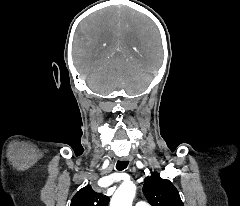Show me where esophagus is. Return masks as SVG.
Returning <instances> with one entry per match:
<instances>
[{"label": "esophagus", "mask_w": 240, "mask_h": 206, "mask_svg": "<svg viewBox=\"0 0 240 206\" xmlns=\"http://www.w3.org/2000/svg\"><path fill=\"white\" fill-rule=\"evenodd\" d=\"M120 160L121 161H131L132 158L131 157H121Z\"/></svg>", "instance_id": "esophagus-1"}]
</instances>
